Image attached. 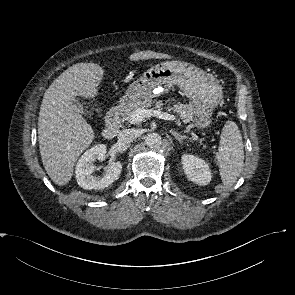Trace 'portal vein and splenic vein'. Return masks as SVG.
Wrapping results in <instances>:
<instances>
[{
    "label": "portal vein and splenic vein",
    "mask_w": 295,
    "mask_h": 295,
    "mask_svg": "<svg viewBox=\"0 0 295 295\" xmlns=\"http://www.w3.org/2000/svg\"><path fill=\"white\" fill-rule=\"evenodd\" d=\"M151 116H156V117H159V118L165 119V120H175L176 119L174 115H170L168 113H164V112H161L158 110L139 108L132 113L131 120H132V123H140L145 118L151 117Z\"/></svg>",
    "instance_id": "obj_1"
}]
</instances>
